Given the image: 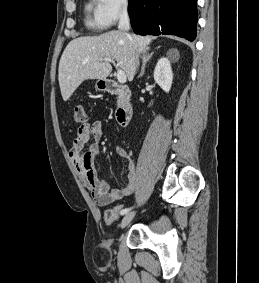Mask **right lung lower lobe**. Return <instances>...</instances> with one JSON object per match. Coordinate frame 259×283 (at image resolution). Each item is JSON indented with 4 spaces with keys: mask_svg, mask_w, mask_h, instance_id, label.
<instances>
[{
    "mask_svg": "<svg viewBox=\"0 0 259 283\" xmlns=\"http://www.w3.org/2000/svg\"><path fill=\"white\" fill-rule=\"evenodd\" d=\"M197 0H129L128 12L136 34H170L193 41Z\"/></svg>",
    "mask_w": 259,
    "mask_h": 283,
    "instance_id": "1",
    "label": "right lung lower lobe"
}]
</instances>
